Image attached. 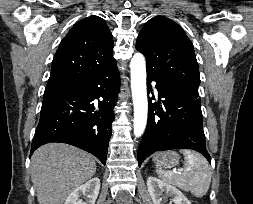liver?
<instances>
[{
	"label": "liver",
	"mask_w": 253,
	"mask_h": 204,
	"mask_svg": "<svg viewBox=\"0 0 253 204\" xmlns=\"http://www.w3.org/2000/svg\"><path fill=\"white\" fill-rule=\"evenodd\" d=\"M95 172L92 155L63 143L43 145L31 157V180L39 204H63Z\"/></svg>",
	"instance_id": "liver-1"
}]
</instances>
